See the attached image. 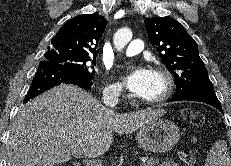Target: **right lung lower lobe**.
<instances>
[{"mask_svg": "<svg viewBox=\"0 0 231 166\" xmlns=\"http://www.w3.org/2000/svg\"><path fill=\"white\" fill-rule=\"evenodd\" d=\"M61 83L78 85L86 90L93 86L92 79L68 67L50 61H41L23 102L26 103L30 99Z\"/></svg>", "mask_w": 231, "mask_h": 166, "instance_id": "1", "label": "right lung lower lobe"}]
</instances>
